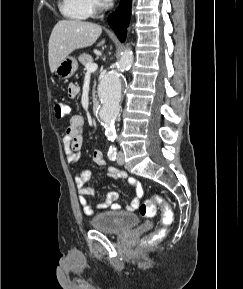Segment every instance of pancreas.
<instances>
[{"label": "pancreas", "instance_id": "obj_1", "mask_svg": "<svg viewBox=\"0 0 243 289\" xmlns=\"http://www.w3.org/2000/svg\"><path fill=\"white\" fill-rule=\"evenodd\" d=\"M79 62L86 67L87 63H92L93 58L91 55L87 53H83L78 57ZM95 95V84L93 86V96Z\"/></svg>", "mask_w": 243, "mask_h": 289}]
</instances>
